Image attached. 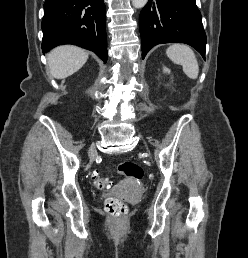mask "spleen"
<instances>
[{"label": "spleen", "instance_id": "spleen-1", "mask_svg": "<svg viewBox=\"0 0 248 258\" xmlns=\"http://www.w3.org/2000/svg\"><path fill=\"white\" fill-rule=\"evenodd\" d=\"M166 54L169 59L179 65H182L183 72L190 79H197L199 65L193 50L183 44H173L167 48Z\"/></svg>", "mask_w": 248, "mask_h": 258}]
</instances>
